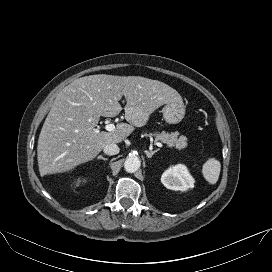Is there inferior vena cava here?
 I'll use <instances>...</instances> for the list:
<instances>
[{
  "label": "inferior vena cava",
  "instance_id": "602c4592",
  "mask_svg": "<svg viewBox=\"0 0 272 272\" xmlns=\"http://www.w3.org/2000/svg\"><path fill=\"white\" fill-rule=\"evenodd\" d=\"M103 151L105 154L112 156L119 153V147L115 143H109L104 147Z\"/></svg>",
  "mask_w": 272,
  "mask_h": 272
}]
</instances>
